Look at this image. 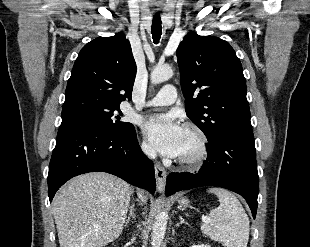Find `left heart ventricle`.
<instances>
[{
    "label": "left heart ventricle",
    "instance_id": "obj_1",
    "mask_svg": "<svg viewBox=\"0 0 310 247\" xmlns=\"http://www.w3.org/2000/svg\"><path fill=\"white\" fill-rule=\"evenodd\" d=\"M196 149L197 139L195 135L184 130L179 156L192 154Z\"/></svg>",
    "mask_w": 310,
    "mask_h": 247
}]
</instances>
